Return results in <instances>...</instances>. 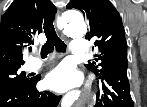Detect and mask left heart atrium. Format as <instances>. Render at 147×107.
Segmentation results:
<instances>
[{
    "label": "left heart atrium",
    "instance_id": "39dd6f15",
    "mask_svg": "<svg viewBox=\"0 0 147 107\" xmlns=\"http://www.w3.org/2000/svg\"><path fill=\"white\" fill-rule=\"evenodd\" d=\"M81 74L70 64L63 63L53 69L45 79V85L56 92H66L78 86Z\"/></svg>",
    "mask_w": 147,
    "mask_h": 107
}]
</instances>
